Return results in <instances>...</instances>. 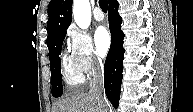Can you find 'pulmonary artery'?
<instances>
[{"mask_svg":"<svg viewBox=\"0 0 193 112\" xmlns=\"http://www.w3.org/2000/svg\"><path fill=\"white\" fill-rule=\"evenodd\" d=\"M94 18L97 21H102L104 19V13L101 11L100 8H95V10H94Z\"/></svg>","mask_w":193,"mask_h":112,"instance_id":"1","label":"pulmonary artery"}]
</instances>
